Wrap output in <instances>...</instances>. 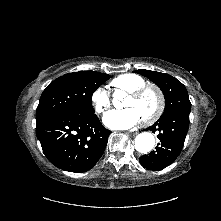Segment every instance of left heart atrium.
<instances>
[{"instance_id":"39dd6f15","label":"left heart atrium","mask_w":221,"mask_h":221,"mask_svg":"<svg viewBox=\"0 0 221 221\" xmlns=\"http://www.w3.org/2000/svg\"><path fill=\"white\" fill-rule=\"evenodd\" d=\"M141 121L140 115L133 108L112 110L103 117L104 124L112 129H128Z\"/></svg>"}]
</instances>
